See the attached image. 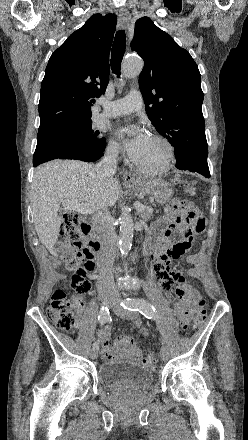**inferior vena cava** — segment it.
<instances>
[{"mask_svg": "<svg viewBox=\"0 0 248 440\" xmlns=\"http://www.w3.org/2000/svg\"><path fill=\"white\" fill-rule=\"evenodd\" d=\"M118 153L116 150L108 151L103 159L96 165V172L100 175L111 177L116 173ZM93 226L102 237V251L99 258L101 281L110 283L113 279V262L116 253L117 235L111 221L110 212L102 207L93 215Z\"/></svg>", "mask_w": 248, "mask_h": 440, "instance_id": "obj_1", "label": "inferior vena cava"}]
</instances>
